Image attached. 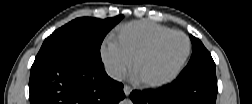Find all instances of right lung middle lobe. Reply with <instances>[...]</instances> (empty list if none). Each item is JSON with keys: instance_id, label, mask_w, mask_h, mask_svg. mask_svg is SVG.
Segmentation results:
<instances>
[{"instance_id": "1", "label": "right lung middle lobe", "mask_w": 252, "mask_h": 104, "mask_svg": "<svg viewBox=\"0 0 252 104\" xmlns=\"http://www.w3.org/2000/svg\"><path fill=\"white\" fill-rule=\"evenodd\" d=\"M123 15L108 19L80 17L48 36L38 52L35 62L44 58L76 53L101 61V45L108 32L120 22Z\"/></svg>"}]
</instances>
